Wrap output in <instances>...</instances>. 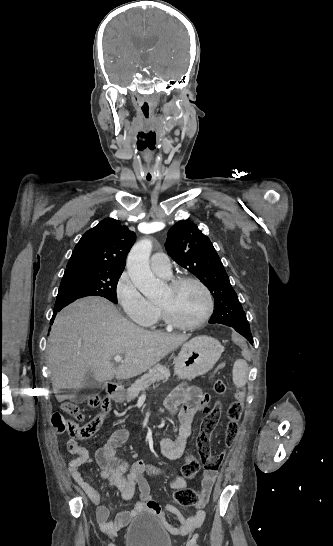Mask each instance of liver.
Segmentation results:
<instances>
[{
	"label": "liver",
	"instance_id": "6515ba94",
	"mask_svg": "<svg viewBox=\"0 0 333 546\" xmlns=\"http://www.w3.org/2000/svg\"><path fill=\"white\" fill-rule=\"evenodd\" d=\"M189 337L146 331L128 321L104 298L79 299L58 313L48 340L56 399L62 402L69 398L60 394L61 389L84 387L88 372L98 382L138 376ZM116 355L124 357L118 366L113 362Z\"/></svg>",
	"mask_w": 333,
	"mask_h": 546
}]
</instances>
